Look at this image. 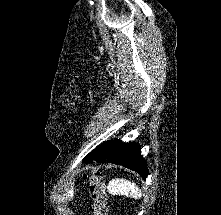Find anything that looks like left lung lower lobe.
Listing matches in <instances>:
<instances>
[{"label":"left lung lower lobe","instance_id":"obj_1","mask_svg":"<svg viewBox=\"0 0 221 215\" xmlns=\"http://www.w3.org/2000/svg\"><path fill=\"white\" fill-rule=\"evenodd\" d=\"M94 161H108L123 165L139 173L142 178L146 179L147 177V165L140 154V147L137 143H124L119 140L109 141L105 153Z\"/></svg>","mask_w":221,"mask_h":215}]
</instances>
